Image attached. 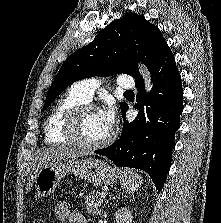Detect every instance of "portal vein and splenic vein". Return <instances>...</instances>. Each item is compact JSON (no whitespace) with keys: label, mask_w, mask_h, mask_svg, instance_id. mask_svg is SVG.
Returning a JSON list of instances; mask_svg holds the SVG:
<instances>
[{"label":"portal vein and splenic vein","mask_w":221,"mask_h":223,"mask_svg":"<svg viewBox=\"0 0 221 223\" xmlns=\"http://www.w3.org/2000/svg\"><path fill=\"white\" fill-rule=\"evenodd\" d=\"M106 195H107V193H106V192H103V193H102V196H103V197H105Z\"/></svg>","instance_id":"18ae733b"}]
</instances>
